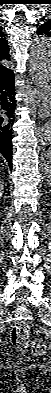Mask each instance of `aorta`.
I'll use <instances>...</instances> for the list:
<instances>
[{"label": "aorta", "mask_w": 51, "mask_h": 393, "mask_svg": "<svg viewBox=\"0 0 51 393\" xmlns=\"http://www.w3.org/2000/svg\"><path fill=\"white\" fill-rule=\"evenodd\" d=\"M30 72L45 97L50 95L51 84V40L46 36L34 39L30 56ZM39 141L43 144L51 141V123L46 122L39 133Z\"/></svg>", "instance_id": "aorta-1"}]
</instances>
